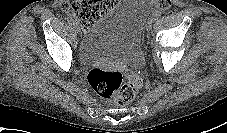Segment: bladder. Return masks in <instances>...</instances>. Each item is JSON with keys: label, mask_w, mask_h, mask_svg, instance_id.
Listing matches in <instances>:
<instances>
[{"label": "bladder", "mask_w": 227, "mask_h": 133, "mask_svg": "<svg viewBox=\"0 0 227 133\" xmlns=\"http://www.w3.org/2000/svg\"><path fill=\"white\" fill-rule=\"evenodd\" d=\"M151 9V0H120L85 30L78 49L81 62L139 66L143 58L142 30Z\"/></svg>", "instance_id": "obj_1"}]
</instances>
